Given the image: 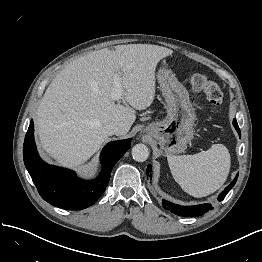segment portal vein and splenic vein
I'll use <instances>...</instances> for the list:
<instances>
[{"label":"portal vein and splenic vein","mask_w":262,"mask_h":262,"mask_svg":"<svg viewBox=\"0 0 262 262\" xmlns=\"http://www.w3.org/2000/svg\"><path fill=\"white\" fill-rule=\"evenodd\" d=\"M121 74V72L118 73V76ZM122 95V89L121 85L118 81V78L115 79L114 81V89H113V99L118 100L121 98Z\"/></svg>","instance_id":"portal-vein-and-splenic-vein-1"}]
</instances>
